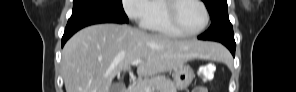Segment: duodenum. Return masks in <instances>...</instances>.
Returning a JSON list of instances; mask_svg holds the SVG:
<instances>
[{"label":"duodenum","instance_id":"obj_1","mask_svg":"<svg viewBox=\"0 0 296 92\" xmlns=\"http://www.w3.org/2000/svg\"><path fill=\"white\" fill-rule=\"evenodd\" d=\"M122 92H134V89L132 87H127L123 89Z\"/></svg>","mask_w":296,"mask_h":92}]
</instances>
